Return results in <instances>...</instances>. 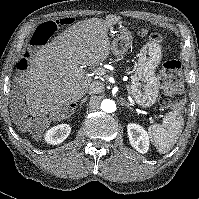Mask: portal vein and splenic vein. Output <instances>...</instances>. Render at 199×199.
<instances>
[{
	"mask_svg": "<svg viewBox=\"0 0 199 199\" xmlns=\"http://www.w3.org/2000/svg\"><path fill=\"white\" fill-rule=\"evenodd\" d=\"M86 65H82L80 68L83 69L85 68ZM105 74V70L103 68H95L94 70H92V73L89 74L90 76H93V75H104ZM150 121L153 122V120L150 118Z\"/></svg>",
	"mask_w": 199,
	"mask_h": 199,
	"instance_id": "1",
	"label": "portal vein and splenic vein"
}]
</instances>
